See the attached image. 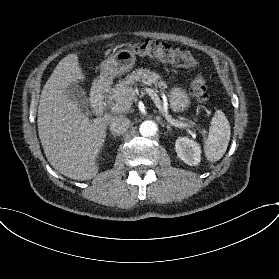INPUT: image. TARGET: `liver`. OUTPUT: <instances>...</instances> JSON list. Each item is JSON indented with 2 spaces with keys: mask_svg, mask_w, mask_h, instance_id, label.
Masks as SVG:
<instances>
[{
  "mask_svg": "<svg viewBox=\"0 0 279 279\" xmlns=\"http://www.w3.org/2000/svg\"><path fill=\"white\" fill-rule=\"evenodd\" d=\"M85 79L77 54H69L56 66L40 95L38 134L49 163L66 177L90 180L98 173L96 158L104 145L106 128L114 116L90 120L68 98L65 89ZM98 83H111L99 77Z\"/></svg>",
  "mask_w": 279,
  "mask_h": 279,
  "instance_id": "liver-1",
  "label": "liver"
}]
</instances>
